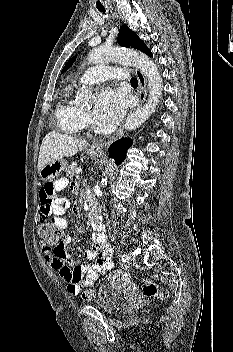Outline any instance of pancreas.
I'll use <instances>...</instances> for the list:
<instances>
[{"label": "pancreas", "mask_w": 233, "mask_h": 352, "mask_svg": "<svg viewBox=\"0 0 233 352\" xmlns=\"http://www.w3.org/2000/svg\"><path fill=\"white\" fill-rule=\"evenodd\" d=\"M76 168H77V164L76 163H71L70 165L67 166L66 168V175L67 177L69 178H74L75 177V171H76Z\"/></svg>", "instance_id": "1"}]
</instances>
